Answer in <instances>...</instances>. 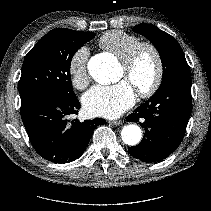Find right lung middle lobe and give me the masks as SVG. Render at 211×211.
<instances>
[{"instance_id":"dd1d6c3e","label":"right lung middle lobe","mask_w":211,"mask_h":211,"mask_svg":"<svg viewBox=\"0 0 211 211\" xmlns=\"http://www.w3.org/2000/svg\"><path fill=\"white\" fill-rule=\"evenodd\" d=\"M95 36L58 28L42 37L26 55L19 81L21 103L40 95L63 99L75 97L70 64L75 52Z\"/></svg>"}]
</instances>
